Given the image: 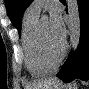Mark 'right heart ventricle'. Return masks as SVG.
Returning a JSON list of instances; mask_svg holds the SVG:
<instances>
[{"label":"right heart ventricle","instance_id":"e07e8e85","mask_svg":"<svg viewBox=\"0 0 89 89\" xmlns=\"http://www.w3.org/2000/svg\"><path fill=\"white\" fill-rule=\"evenodd\" d=\"M38 25V16L25 12L22 21V43L24 62L28 72L32 76H44L54 70V67L46 65L38 55L35 43V34Z\"/></svg>","mask_w":89,"mask_h":89}]
</instances>
